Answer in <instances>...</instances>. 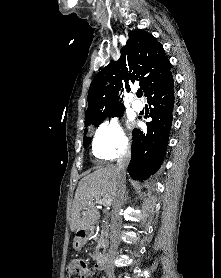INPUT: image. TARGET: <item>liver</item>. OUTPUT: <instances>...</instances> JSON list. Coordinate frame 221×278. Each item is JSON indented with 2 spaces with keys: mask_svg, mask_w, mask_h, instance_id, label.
<instances>
[{
  "mask_svg": "<svg viewBox=\"0 0 221 278\" xmlns=\"http://www.w3.org/2000/svg\"><path fill=\"white\" fill-rule=\"evenodd\" d=\"M119 183L117 166L109 165L86 175L76 189L70 229L72 232L92 229L100 218L97 199H108L113 204Z\"/></svg>",
  "mask_w": 221,
  "mask_h": 278,
  "instance_id": "obj_1",
  "label": "liver"
}]
</instances>
